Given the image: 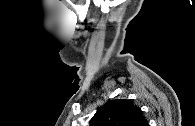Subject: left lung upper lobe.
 <instances>
[{
  "label": "left lung upper lobe",
  "mask_w": 195,
  "mask_h": 126,
  "mask_svg": "<svg viewBox=\"0 0 195 126\" xmlns=\"http://www.w3.org/2000/svg\"><path fill=\"white\" fill-rule=\"evenodd\" d=\"M90 126H148L141 109L127 99L112 100L100 108Z\"/></svg>",
  "instance_id": "left-lung-upper-lobe-1"
}]
</instances>
